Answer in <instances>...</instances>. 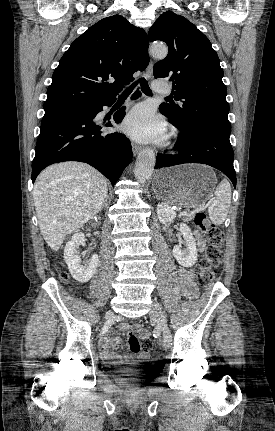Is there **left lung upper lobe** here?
<instances>
[{"mask_svg": "<svg viewBox=\"0 0 275 431\" xmlns=\"http://www.w3.org/2000/svg\"><path fill=\"white\" fill-rule=\"evenodd\" d=\"M149 40L168 45V55L154 65L153 74L170 78L179 100L162 103L160 112L179 130L230 133L223 69L208 38L185 17L167 11L150 28Z\"/></svg>", "mask_w": 275, "mask_h": 431, "instance_id": "5c2ea615", "label": "left lung upper lobe"}]
</instances>
